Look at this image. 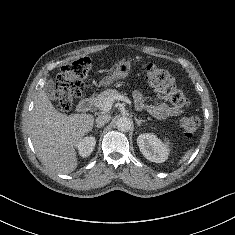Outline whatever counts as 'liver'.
I'll list each match as a JSON object with an SVG mask.
<instances>
[{
	"mask_svg": "<svg viewBox=\"0 0 235 235\" xmlns=\"http://www.w3.org/2000/svg\"><path fill=\"white\" fill-rule=\"evenodd\" d=\"M91 114H62L41 90L31 112L30 134L40 159L52 170L68 174L78 165L75 148L92 129Z\"/></svg>",
	"mask_w": 235,
	"mask_h": 235,
	"instance_id": "6515ba94",
	"label": "liver"
}]
</instances>
